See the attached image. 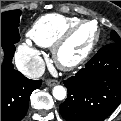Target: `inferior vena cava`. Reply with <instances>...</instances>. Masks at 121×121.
Wrapping results in <instances>:
<instances>
[{"label": "inferior vena cava", "instance_id": "obj_1", "mask_svg": "<svg viewBox=\"0 0 121 121\" xmlns=\"http://www.w3.org/2000/svg\"><path fill=\"white\" fill-rule=\"evenodd\" d=\"M18 70L28 78H39L45 72V63L41 57H37L29 64H18Z\"/></svg>", "mask_w": 121, "mask_h": 121}]
</instances>
